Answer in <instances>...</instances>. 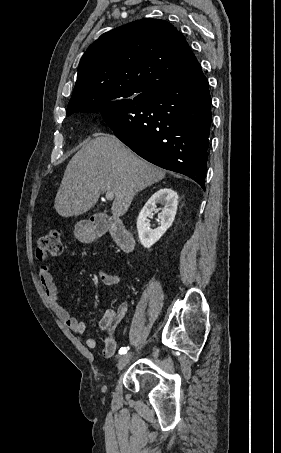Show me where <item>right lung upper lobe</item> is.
I'll use <instances>...</instances> for the list:
<instances>
[{"label": "right lung upper lobe", "mask_w": 281, "mask_h": 453, "mask_svg": "<svg viewBox=\"0 0 281 453\" xmlns=\"http://www.w3.org/2000/svg\"><path fill=\"white\" fill-rule=\"evenodd\" d=\"M196 62L182 33L165 20L141 19L113 29L82 56L67 116L129 101Z\"/></svg>", "instance_id": "1"}]
</instances>
